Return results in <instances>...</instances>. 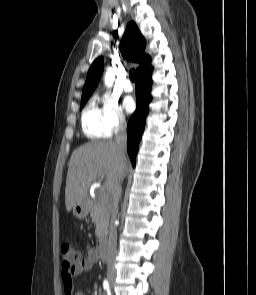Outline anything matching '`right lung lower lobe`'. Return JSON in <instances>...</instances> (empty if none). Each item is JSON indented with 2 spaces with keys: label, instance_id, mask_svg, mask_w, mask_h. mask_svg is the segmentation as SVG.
Returning a JSON list of instances; mask_svg holds the SVG:
<instances>
[{
  "label": "right lung lower lobe",
  "instance_id": "98d812e1",
  "mask_svg": "<svg viewBox=\"0 0 256 295\" xmlns=\"http://www.w3.org/2000/svg\"><path fill=\"white\" fill-rule=\"evenodd\" d=\"M151 71L152 68H149L136 76L137 108L128 122L127 129V148L133 166L136 163V154L149 111L148 103L151 101L149 94L152 85Z\"/></svg>",
  "mask_w": 256,
  "mask_h": 295
}]
</instances>
